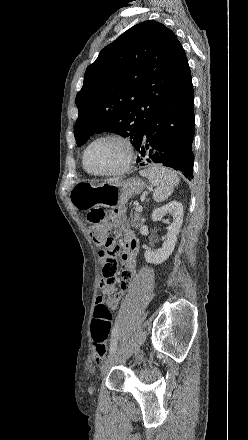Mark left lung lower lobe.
<instances>
[{"label": "left lung lower lobe", "instance_id": "obj_1", "mask_svg": "<svg viewBox=\"0 0 248 440\" xmlns=\"http://www.w3.org/2000/svg\"><path fill=\"white\" fill-rule=\"evenodd\" d=\"M194 93L192 81L172 95L149 120L135 148L141 166L157 163L193 179ZM146 154V149H149Z\"/></svg>", "mask_w": 248, "mask_h": 440}]
</instances>
